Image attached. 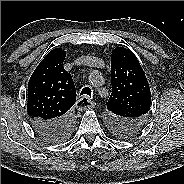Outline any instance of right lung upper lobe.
<instances>
[{
	"label": "right lung upper lobe",
	"instance_id": "1",
	"mask_svg": "<svg viewBox=\"0 0 184 184\" xmlns=\"http://www.w3.org/2000/svg\"><path fill=\"white\" fill-rule=\"evenodd\" d=\"M66 53L51 50L34 70L28 83L27 112L31 120L54 121L70 114L76 90L70 73L63 68Z\"/></svg>",
	"mask_w": 184,
	"mask_h": 184
}]
</instances>
